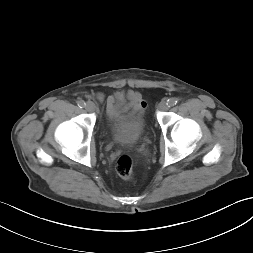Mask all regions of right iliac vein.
Wrapping results in <instances>:
<instances>
[{"label": "right iliac vein", "mask_w": 253, "mask_h": 253, "mask_svg": "<svg viewBox=\"0 0 253 253\" xmlns=\"http://www.w3.org/2000/svg\"><path fill=\"white\" fill-rule=\"evenodd\" d=\"M85 109L88 111V112H93L95 110V104L91 101H88L85 105Z\"/></svg>", "instance_id": "63e3f726"}]
</instances>
